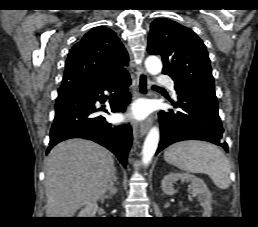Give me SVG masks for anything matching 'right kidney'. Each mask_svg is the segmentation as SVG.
I'll return each instance as SVG.
<instances>
[{
    "label": "right kidney",
    "mask_w": 258,
    "mask_h": 227,
    "mask_svg": "<svg viewBox=\"0 0 258 227\" xmlns=\"http://www.w3.org/2000/svg\"><path fill=\"white\" fill-rule=\"evenodd\" d=\"M98 206L95 202L87 204L80 212L78 217H95Z\"/></svg>",
    "instance_id": "1"
}]
</instances>
